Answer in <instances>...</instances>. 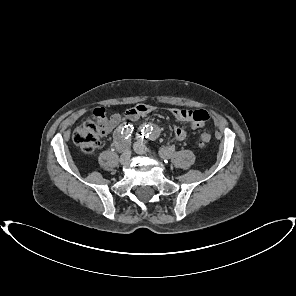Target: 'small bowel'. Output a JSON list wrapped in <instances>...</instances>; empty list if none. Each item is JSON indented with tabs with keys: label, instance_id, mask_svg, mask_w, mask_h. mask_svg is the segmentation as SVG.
Listing matches in <instances>:
<instances>
[{
	"label": "small bowel",
	"instance_id": "1",
	"mask_svg": "<svg viewBox=\"0 0 296 296\" xmlns=\"http://www.w3.org/2000/svg\"><path fill=\"white\" fill-rule=\"evenodd\" d=\"M153 107L148 104H138L137 106L127 110L125 112L124 118L128 121L138 120L150 112H152ZM173 115L180 121L190 122L193 129L202 128L209 118L208 113L205 110H189L174 108L172 110ZM122 120L120 114H112L107 120V132H110L115 128ZM174 134L177 140L182 141L188 137V132L183 126H175ZM175 149L174 145L168 144L162 147V155H168Z\"/></svg>",
	"mask_w": 296,
	"mask_h": 296
}]
</instances>
